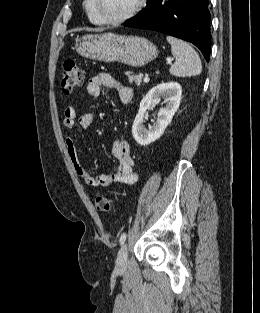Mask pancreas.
<instances>
[{"label": "pancreas", "instance_id": "pancreas-1", "mask_svg": "<svg viewBox=\"0 0 260 313\" xmlns=\"http://www.w3.org/2000/svg\"><path fill=\"white\" fill-rule=\"evenodd\" d=\"M125 74L127 75L130 84L135 83L137 86H140L142 84V74H133L130 71L125 72Z\"/></svg>", "mask_w": 260, "mask_h": 313}]
</instances>
